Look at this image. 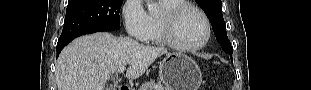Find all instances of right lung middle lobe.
I'll return each instance as SVG.
<instances>
[{"label": "right lung middle lobe", "mask_w": 311, "mask_h": 90, "mask_svg": "<svg viewBox=\"0 0 311 90\" xmlns=\"http://www.w3.org/2000/svg\"><path fill=\"white\" fill-rule=\"evenodd\" d=\"M123 0H69L65 24L58 42L90 32L120 28Z\"/></svg>", "instance_id": "obj_1"}]
</instances>
